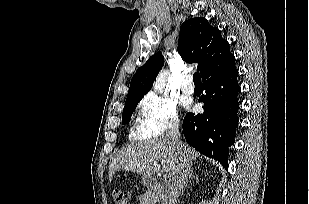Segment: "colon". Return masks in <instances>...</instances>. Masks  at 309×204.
Masks as SVG:
<instances>
[{
	"instance_id": "obj_1",
	"label": "colon",
	"mask_w": 309,
	"mask_h": 204,
	"mask_svg": "<svg viewBox=\"0 0 309 204\" xmlns=\"http://www.w3.org/2000/svg\"><path fill=\"white\" fill-rule=\"evenodd\" d=\"M112 197L115 204H127L130 195L127 190L115 189L113 190Z\"/></svg>"
}]
</instances>
